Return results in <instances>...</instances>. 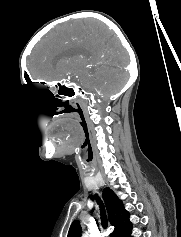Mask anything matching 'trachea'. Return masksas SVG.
<instances>
[{
    "instance_id": "obj_1",
    "label": "trachea",
    "mask_w": 181,
    "mask_h": 237,
    "mask_svg": "<svg viewBox=\"0 0 181 237\" xmlns=\"http://www.w3.org/2000/svg\"><path fill=\"white\" fill-rule=\"evenodd\" d=\"M96 201L100 205L102 226H103V228H107L108 220H107V217L105 214V209H104L102 201L100 200V198L97 195H96Z\"/></svg>"
}]
</instances>
